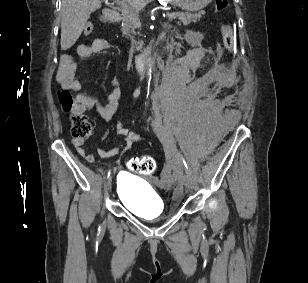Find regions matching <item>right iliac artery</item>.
I'll return each instance as SVG.
<instances>
[{
	"label": "right iliac artery",
	"instance_id": "obj_1",
	"mask_svg": "<svg viewBox=\"0 0 308 283\" xmlns=\"http://www.w3.org/2000/svg\"><path fill=\"white\" fill-rule=\"evenodd\" d=\"M110 174H111V170H109V172H108V174H107V177H108V178H109Z\"/></svg>",
	"mask_w": 308,
	"mask_h": 283
}]
</instances>
